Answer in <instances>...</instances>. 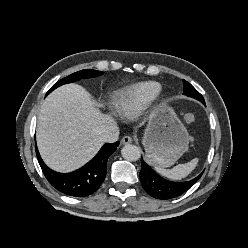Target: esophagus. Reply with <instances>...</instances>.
Masks as SVG:
<instances>
[{"mask_svg": "<svg viewBox=\"0 0 248 248\" xmlns=\"http://www.w3.org/2000/svg\"><path fill=\"white\" fill-rule=\"evenodd\" d=\"M133 142V138L131 137V136H129V135H127V136H124L123 138H122V140H121V143L122 144H130V143H132Z\"/></svg>", "mask_w": 248, "mask_h": 248, "instance_id": "esophagus-1", "label": "esophagus"}]
</instances>
